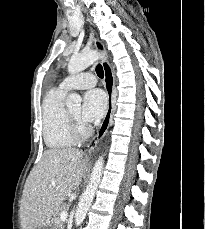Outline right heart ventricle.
<instances>
[{
	"instance_id": "right-heart-ventricle-1",
	"label": "right heart ventricle",
	"mask_w": 205,
	"mask_h": 229,
	"mask_svg": "<svg viewBox=\"0 0 205 229\" xmlns=\"http://www.w3.org/2000/svg\"><path fill=\"white\" fill-rule=\"evenodd\" d=\"M67 92L61 88L51 90L42 103L43 138L48 148L59 150L74 144L64 100Z\"/></svg>"
}]
</instances>
